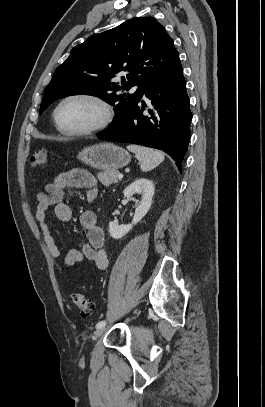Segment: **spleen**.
Listing matches in <instances>:
<instances>
[{
  "instance_id": "3e777b00",
  "label": "spleen",
  "mask_w": 265,
  "mask_h": 407,
  "mask_svg": "<svg viewBox=\"0 0 265 407\" xmlns=\"http://www.w3.org/2000/svg\"><path fill=\"white\" fill-rule=\"evenodd\" d=\"M127 149L135 154L140 162V168L143 172L154 169L164 161V154L152 148L139 145H128Z\"/></svg>"
}]
</instances>
